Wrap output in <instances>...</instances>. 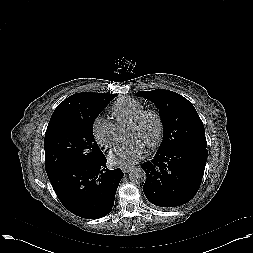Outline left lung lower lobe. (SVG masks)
Segmentation results:
<instances>
[{
    "mask_svg": "<svg viewBox=\"0 0 253 253\" xmlns=\"http://www.w3.org/2000/svg\"><path fill=\"white\" fill-rule=\"evenodd\" d=\"M207 154L205 147L184 144L157 153L151 161L143 163L146 198L163 208L189 202L201 185Z\"/></svg>",
    "mask_w": 253,
    "mask_h": 253,
    "instance_id": "obj_1",
    "label": "left lung lower lobe"
}]
</instances>
